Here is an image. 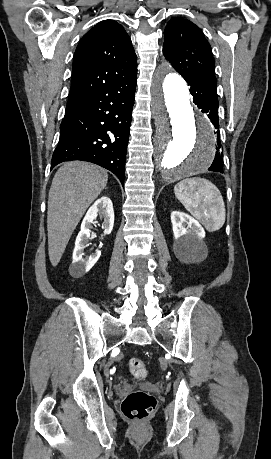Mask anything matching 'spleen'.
<instances>
[{"label": "spleen", "instance_id": "obj_1", "mask_svg": "<svg viewBox=\"0 0 271 459\" xmlns=\"http://www.w3.org/2000/svg\"><path fill=\"white\" fill-rule=\"evenodd\" d=\"M174 194L208 231L222 228L226 218L225 204L212 182L205 178H186L176 184Z\"/></svg>", "mask_w": 271, "mask_h": 459}]
</instances>
